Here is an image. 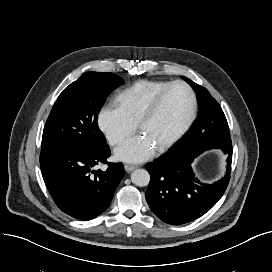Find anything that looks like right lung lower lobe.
Wrapping results in <instances>:
<instances>
[{
    "label": "right lung lower lobe",
    "instance_id": "right-lung-lower-lobe-1",
    "mask_svg": "<svg viewBox=\"0 0 272 272\" xmlns=\"http://www.w3.org/2000/svg\"><path fill=\"white\" fill-rule=\"evenodd\" d=\"M107 144L79 149L52 147L41 150L40 166L45 184L56 205L66 214L90 220L104 212L124 177L122 163H108ZM108 163L106 171L95 166Z\"/></svg>",
    "mask_w": 272,
    "mask_h": 272
}]
</instances>
